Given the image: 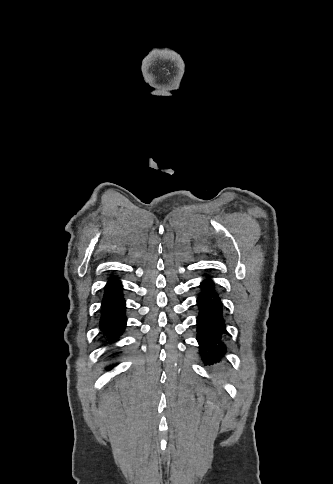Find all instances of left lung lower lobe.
Masks as SVG:
<instances>
[{
	"instance_id": "obj_1",
	"label": "left lung lower lobe",
	"mask_w": 333,
	"mask_h": 484,
	"mask_svg": "<svg viewBox=\"0 0 333 484\" xmlns=\"http://www.w3.org/2000/svg\"><path fill=\"white\" fill-rule=\"evenodd\" d=\"M200 287L202 292L197 299L200 310L197 319V340L204 362L212 364L226 353L223 342V335L226 333L223 306L214 290L212 280L204 281Z\"/></svg>"
}]
</instances>
